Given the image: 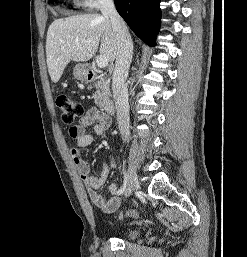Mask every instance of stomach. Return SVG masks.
I'll list each match as a JSON object with an SVG mask.
<instances>
[{
    "label": "stomach",
    "mask_w": 247,
    "mask_h": 257,
    "mask_svg": "<svg viewBox=\"0 0 247 257\" xmlns=\"http://www.w3.org/2000/svg\"><path fill=\"white\" fill-rule=\"evenodd\" d=\"M74 77L78 80L84 81L87 79L88 75V70H87V65L85 64H77L74 67L73 71Z\"/></svg>",
    "instance_id": "obj_1"
}]
</instances>
